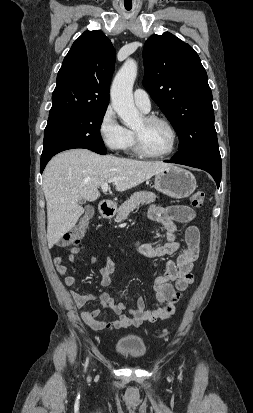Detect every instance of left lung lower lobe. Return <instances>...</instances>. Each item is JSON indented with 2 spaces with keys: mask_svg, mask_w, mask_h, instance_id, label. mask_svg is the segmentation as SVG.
<instances>
[{
  "mask_svg": "<svg viewBox=\"0 0 253 413\" xmlns=\"http://www.w3.org/2000/svg\"><path fill=\"white\" fill-rule=\"evenodd\" d=\"M165 162L183 164V165L205 170L212 175V177L216 181L217 187L219 188L220 186L221 161L210 160V159L179 160V159L172 158L171 160H166Z\"/></svg>",
  "mask_w": 253,
  "mask_h": 413,
  "instance_id": "0a47b994",
  "label": "left lung lower lobe"
}]
</instances>
